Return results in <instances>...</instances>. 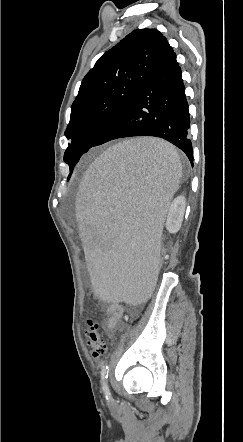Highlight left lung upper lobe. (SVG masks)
I'll return each mask as SVG.
<instances>
[{
  "instance_id": "1",
  "label": "left lung upper lobe",
  "mask_w": 243,
  "mask_h": 442,
  "mask_svg": "<svg viewBox=\"0 0 243 442\" xmlns=\"http://www.w3.org/2000/svg\"><path fill=\"white\" fill-rule=\"evenodd\" d=\"M167 45V39L156 29L134 30L87 73L65 131L71 140L64 154L70 174L80 157L110 130Z\"/></svg>"
}]
</instances>
